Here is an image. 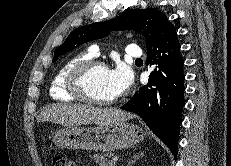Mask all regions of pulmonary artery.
Here are the masks:
<instances>
[{"label": "pulmonary artery", "instance_id": "1", "mask_svg": "<svg viewBox=\"0 0 231 166\" xmlns=\"http://www.w3.org/2000/svg\"><path fill=\"white\" fill-rule=\"evenodd\" d=\"M90 51L92 52L94 56L99 55V48L96 45L92 46ZM125 53L129 57H133V58H140L142 56V51L136 44L127 45L125 47Z\"/></svg>", "mask_w": 231, "mask_h": 166}]
</instances>
